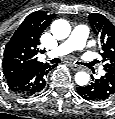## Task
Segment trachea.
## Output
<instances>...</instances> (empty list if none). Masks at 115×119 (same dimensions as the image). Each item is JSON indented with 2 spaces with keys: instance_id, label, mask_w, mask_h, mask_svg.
<instances>
[{
  "instance_id": "obj_1",
  "label": "trachea",
  "mask_w": 115,
  "mask_h": 119,
  "mask_svg": "<svg viewBox=\"0 0 115 119\" xmlns=\"http://www.w3.org/2000/svg\"><path fill=\"white\" fill-rule=\"evenodd\" d=\"M49 61H50L51 64H55V63H60L61 62L60 58H54V59H51Z\"/></svg>"
}]
</instances>
